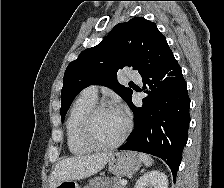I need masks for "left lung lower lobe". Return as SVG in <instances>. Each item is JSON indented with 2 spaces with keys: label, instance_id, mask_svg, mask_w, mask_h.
Instances as JSON below:
<instances>
[{
  "label": "left lung lower lobe",
  "instance_id": "left-lung-lower-lobe-1",
  "mask_svg": "<svg viewBox=\"0 0 224 188\" xmlns=\"http://www.w3.org/2000/svg\"><path fill=\"white\" fill-rule=\"evenodd\" d=\"M142 78L143 90L149 96L143 98L141 108L132 101L128 104L135 116V127L128 141L118 150L160 157L176 177L190 122V99L182 70L172 55Z\"/></svg>",
  "mask_w": 224,
  "mask_h": 188
}]
</instances>
